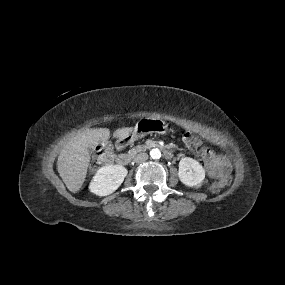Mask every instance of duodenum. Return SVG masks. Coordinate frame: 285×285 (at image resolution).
Returning <instances> with one entry per match:
<instances>
[{"instance_id":"410a0bca","label":"duodenum","mask_w":285,"mask_h":285,"mask_svg":"<svg viewBox=\"0 0 285 285\" xmlns=\"http://www.w3.org/2000/svg\"><path fill=\"white\" fill-rule=\"evenodd\" d=\"M123 143H125V140H121L119 142V144H123ZM135 154H136V151H130V152L119 154L116 158V161L118 164H121V165L129 164L131 160L133 159V157L135 156ZM163 154L166 159L173 158V153L170 150L164 149Z\"/></svg>"}]
</instances>
